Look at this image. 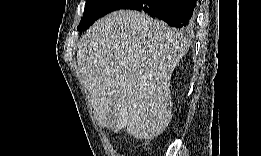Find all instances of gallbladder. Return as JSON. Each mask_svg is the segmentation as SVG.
<instances>
[{"label": "gallbladder", "instance_id": "obj_1", "mask_svg": "<svg viewBox=\"0 0 261 156\" xmlns=\"http://www.w3.org/2000/svg\"><path fill=\"white\" fill-rule=\"evenodd\" d=\"M108 106L113 107L110 113L107 114L109 118L108 127H115L114 129L127 127L129 110L124 109L129 107H126L125 104H111Z\"/></svg>", "mask_w": 261, "mask_h": 156}]
</instances>
